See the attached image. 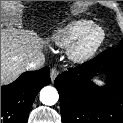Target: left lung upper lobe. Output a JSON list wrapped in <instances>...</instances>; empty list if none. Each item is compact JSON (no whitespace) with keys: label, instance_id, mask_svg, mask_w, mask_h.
Wrapping results in <instances>:
<instances>
[{"label":"left lung upper lobe","instance_id":"left-lung-upper-lobe-1","mask_svg":"<svg viewBox=\"0 0 123 123\" xmlns=\"http://www.w3.org/2000/svg\"><path fill=\"white\" fill-rule=\"evenodd\" d=\"M118 47L123 48V40H121V42H120Z\"/></svg>","mask_w":123,"mask_h":123}]
</instances>
